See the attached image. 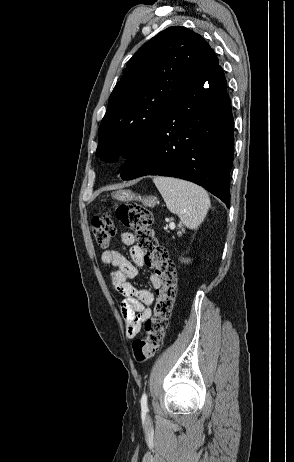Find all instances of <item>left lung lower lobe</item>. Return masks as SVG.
<instances>
[{
  "mask_svg": "<svg viewBox=\"0 0 294 462\" xmlns=\"http://www.w3.org/2000/svg\"><path fill=\"white\" fill-rule=\"evenodd\" d=\"M221 66L186 87L127 158L123 180L146 175L194 182L230 204L234 123Z\"/></svg>",
  "mask_w": 294,
  "mask_h": 462,
  "instance_id": "1",
  "label": "left lung lower lobe"
}]
</instances>
